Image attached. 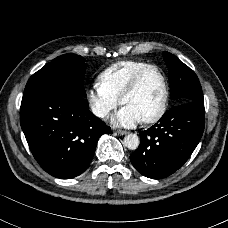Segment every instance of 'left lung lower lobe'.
Instances as JSON below:
<instances>
[{
  "mask_svg": "<svg viewBox=\"0 0 228 228\" xmlns=\"http://www.w3.org/2000/svg\"><path fill=\"white\" fill-rule=\"evenodd\" d=\"M204 123V102H185L170 109L157 124L140 132V145L130 156L131 163L148 178L173 174L198 145Z\"/></svg>",
  "mask_w": 228,
  "mask_h": 228,
  "instance_id": "1",
  "label": "left lung lower lobe"
}]
</instances>
